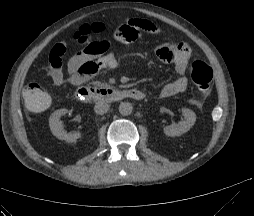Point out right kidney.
<instances>
[{
    "instance_id": "right-kidney-1",
    "label": "right kidney",
    "mask_w": 254,
    "mask_h": 216,
    "mask_svg": "<svg viewBox=\"0 0 254 216\" xmlns=\"http://www.w3.org/2000/svg\"><path fill=\"white\" fill-rule=\"evenodd\" d=\"M67 113H68V110L65 108L59 109L53 112L49 118V126L53 135L56 136L58 139L65 140L67 142H75L77 139L81 137V134L78 132L66 133L63 130V126L59 122L61 116Z\"/></svg>"
}]
</instances>
